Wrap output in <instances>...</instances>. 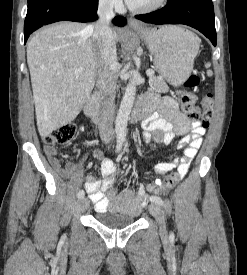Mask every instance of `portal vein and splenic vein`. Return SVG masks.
<instances>
[{
    "mask_svg": "<svg viewBox=\"0 0 247 275\" xmlns=\"http://www.w3.org/2000/svg\"><path fill=\"white\" fill-rule=\"evenodd\" d=\"M74 71L75 72H80L81 69L80 68H76V69H74ZM146 74H147L148 77H152V76H154L155 72H154V70L149 69V70H147Z\"/></svg>",
    "mask_w": 247,
    "mask_h": 275,
    "instance_id": "obj_1",
    "label": "portal vein and splenic vein"
}]
</instances>
